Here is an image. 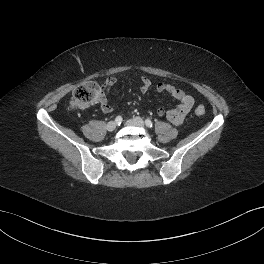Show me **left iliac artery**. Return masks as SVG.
Masks as SVG:
<instances>
[{
    "instance_id": "1",
    "label": "left iliac artery",
    "mask_w": 264,
    "mask_h": 264,
    "mask_svg": "<svg viewBox=\"0 0 264 264\" xmlns=\"http://www.w3.org/2000/svg\"><path fill=\"white\" fill-rule=\"evenodd\" d=\"M145 124H146V126L149 127V128H152V127H153V123H152V121L149 120V119H146V120H145Z\"/></svg>"
}]
</instances>
